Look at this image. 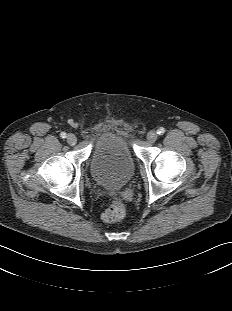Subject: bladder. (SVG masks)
Listing matches in <instances>:
<instances>
[{"mask_svg": "<svg viewBox=\"0 0 232 311\" xmlns=\"http://www.w3.org/2000/svg\"><path fill=\"white\" fill-rule=\"evenodd\" d=\"M93 179L101 186L118 189L130 181L135 164L125 137L106 132L95 142L90 159Z\"/></svg>", "mask_w": 232, "mask_h": 311, "instance_id": "1", "label": "bladder"}]
</instances>
